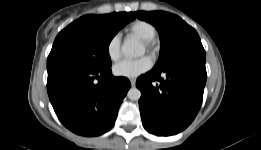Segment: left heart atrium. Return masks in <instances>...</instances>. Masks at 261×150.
I'll return each instance as SVG.
<instances>
[{"label":"left heart atrium","instance_id":"39dd6f15","mask_svg":"<svg viewBox=\"0 0 261 150\" xmlns=\"http://www.w3.org/2000/svg\"><path fill=\"white\" fill-rule=\"evenodd\" d=\"M152 67V60L143 56L135 60H122L113 67L115 75L135 79Z\"/></svg>","mask_w":261,"mask_h":150}]
</instances>
